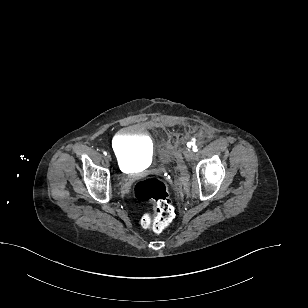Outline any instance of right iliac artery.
Wrapping results in <instances>:
<instances>
[{
    "instance_id": "right-iliac-artery-1",
    "label": "right iliac artery",
    "mask_w": 308,
    "mask_h": 308,
    "mask_svg": "<svg viewBox=\"0 0 308 308\" xmlns=\"http://www.w3.org/2000/svg\"><path fill=\"white\" fill-rule=\"evenodd\" d=\"M103 154H104V155H107V152H106V151H104V152H103Z\"/></svg>"
}]
</instances>
